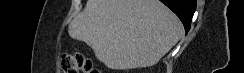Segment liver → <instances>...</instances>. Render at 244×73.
Here are the masks:
<instances>
[{
    "label": "liver",
    "mask_w": 244,
    "mask_h": 73,
    "mask_svg": "<svg viewBox=\"0 0 244 73\" xmlns=\"http://www.w3.org/2000/svg\"><path fill=\"white\" fill-rule=\"evenodd\" d=\"M110 69L155 65L179 41L183 25L159 0H88L68 27Z\"/></svg>",
    "instance_id": "6515ba94"
}]
</instances>
